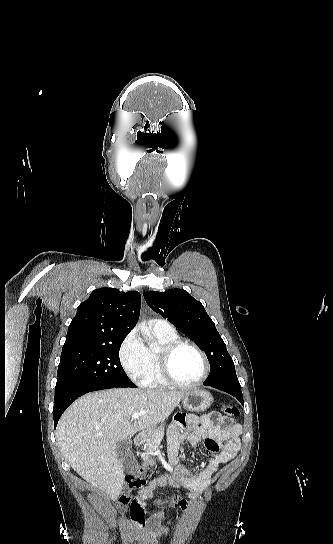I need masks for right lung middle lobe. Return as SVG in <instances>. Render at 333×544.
<instances>
[{
  "instance_id": "1",
  "label": "right lung middle lobe",
  "mask_w": 333,
  "mask_h": 544,
  "mask_svg": "<svg viewBox=\"0 0 333 544\" xmlns=\"http://www.w3.org/2000/svg\"><path fill=\"white\" fill-rule=\"evenodd\" d=\"M126 336L108 343L65 348L61 353L57 382L83 385L136 387L123 370L119 350Z\"/></svg>"
}]
</instances>
